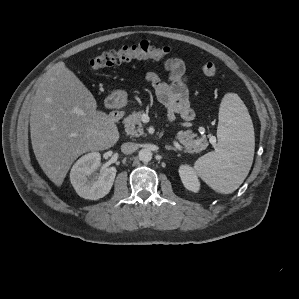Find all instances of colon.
<instances>
[{"label": "colon", "instance_id": "1", "mask_svg": "<svg viewBox=\"0 0 299 299\" xmlns=\"http://www.w3.org/2000/svg\"><path fill=\"white\" fill-rule=\"evenodd\" d=\"M169 53V48L158 47L144 40L136 45L124 46L118 50H111L95 56L90 60V68L99 70L137 58L162 60ZM201 71L205 76L212 77L216 75L217 67L213 62H206L202 65Z\"/></svg>", "mask_w": 299, "mask_h": 299}]
</instances>
